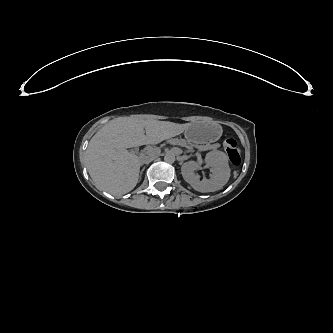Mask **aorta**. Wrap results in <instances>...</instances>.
I'll list each match as a JSON object with an SVG mask.
<instances>
[{
	"mask_svg": "<svg viewBox=\"0 0 333 333\" xmlns=\"http://www.w3.org/2000/svg\"><path fill=\"white\" fill-rule=\"evenodd\" d=\"M175 160H176L175 154L172 152H167L164 156V161L166 163L172 164L175 162Z\"/></svg>",
	"mask_w": 333,
	"mask_h": 333,
	"instance_id": "1",
	"label": "aorta"
}]
</instances>
